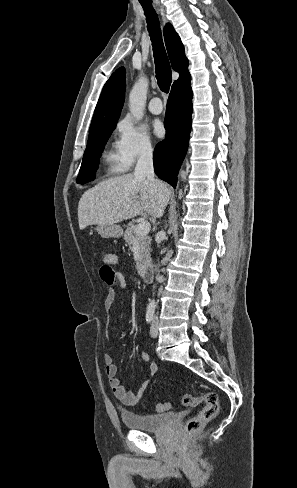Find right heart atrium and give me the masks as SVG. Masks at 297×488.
<instances>
[{
	"mask_svg": "<svg viewBox=\"0 0 297 488\" xmlns=\"http://www.w3.org/2000/svg\"><path fill=\"white\" fill-rule=\"evenodd\" d=\"M117 135V152L126 167L132 166L139 159L151 157L155 151L148 133L131 119L125 118L118 122Z\"/></svg>",
	"mask_w": 297,
	"mask_h": 488,
	"instance_id": "right-heart-atrium-1",
	"label": "right heart atrium"
}]
</instances>
